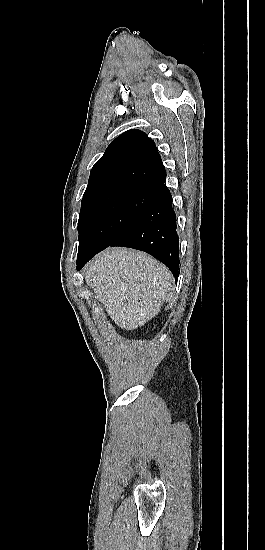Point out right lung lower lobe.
I'll return each instance as SVG.
<instances>
[{
  "label": "right lung lower lobe",
  "mask_w": 265,
  "mask_h": 550,
  "mask_svg": "<svg viewBox=\"0 0 265 550\" xmlns=\"http://www.w3.org/2000/svg\"><path fill=\"white\" fill-rule=\"evenodd\" d=\"M172 196L165 186L160 190L138 220L109 246H123L145 251L164 263L177 281L179 275V238ZM101 251V250H100ZM86 254L77 260L80 270L95 254Z\"/></svg>",
  "instance_id": "1"
}]
</instances>
